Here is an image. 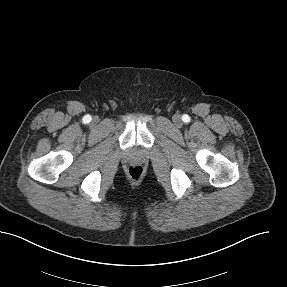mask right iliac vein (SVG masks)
I'll use <instances>...</instances> for the list:
<instances>
[{
  "label": "right iliac vein",
  "mask_w": 287,
  "mask_h": 287,
  "mask_svg": "<svg viewBox=\"0 0 287 287\" xmlns=\"http://www.w3.org/2000/svg\"><path fill=\"white\" fill-rule=\"evenodd\" d=\"M96 120H97V119H96V118H94V120H93V121H94V122H96Z\"/></svg>",
  "instance_id": "right-iliac-vein-1"
}]
</instances>
